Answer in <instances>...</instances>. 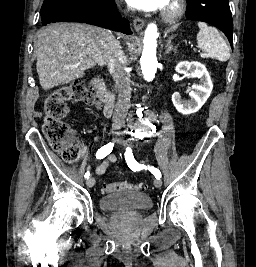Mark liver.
Listing matches in <instances>:
<instances>
[{"label": "liver", "mask_w": 256, "mask_h": 267, "mask_svg": "<svg viewBox=\"0 0 256 267\" xmlns=\"http://www.w3.org/2000/svg\"><path fill=\"white\" fill-rule=\"evenodd\" d=\"M109 32L88 24H50L38 34L36 70L40 86L50 90L83 78L96 64L106 66Z\"/></svg>", "instance_id": "liver-1"}]
</instances>
